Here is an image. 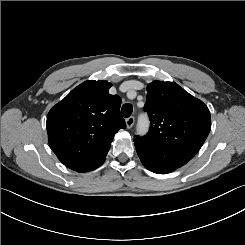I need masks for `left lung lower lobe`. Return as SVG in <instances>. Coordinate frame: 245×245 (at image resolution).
Here are the masks:
<instances>
[{
    "mask_svg": "<svg viewBox=\"0 0 245 245\" xmlns=\"http://www.w3.org/2000/svg\"><path fill=\"white\" fill-rule=\"evenodd\" d=\"M134 144L142 164L154 173L167 174L188 162L171 151L149 147L135 141Z\"/></svg>",
    "mask_w": 245,
    "mask_h": 245,
    "instance_id": "1",
    "label": "left lung lower lobe"
}]
</instances>
